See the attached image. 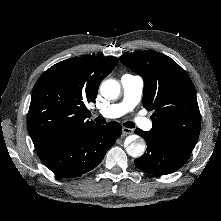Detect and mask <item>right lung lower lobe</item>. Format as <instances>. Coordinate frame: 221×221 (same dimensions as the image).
Here are the masks:
<instances>
[{
  "mask_svg": "<svg viewBox=\"0 0 221 221\" xmlns=\"http://www.w3.org/2000/svg\"><path fill=\"white\" fill-rule=\"evenodd\" d=\"M122 132L118 122L94 125L57 139L40 151L41 161L56 175L77 177L95 168Z\"/></svg>",
  "mask_w": 221,
  "mask_h": 221,
  "instance_id": "1",
  "label": "right lung lower lobe"
}]
</instances>
